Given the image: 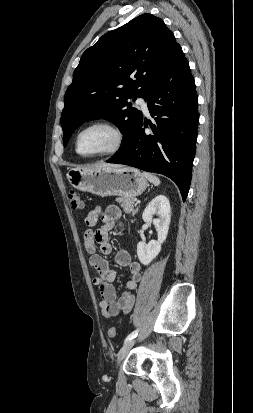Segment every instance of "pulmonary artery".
Wrapping results in <instances>:
<instances>
[{
    "mask_svg": "<svg viewBox=\"0 0 253 413\" xmlns=\"http://www.w3.org/2000/svg\"><path fill=\"white\" fill-rule=\"evenodd\" d=\"M137 104L141 107V109L148 114L149 110H148V102L144 97H139L137 99Z\"/></svg>",
    "mask_w": 253,
    "mask_h": 413,
    "instance_id": "obj_1",
    "label": "pulmonary artery"
}]
</instances>
